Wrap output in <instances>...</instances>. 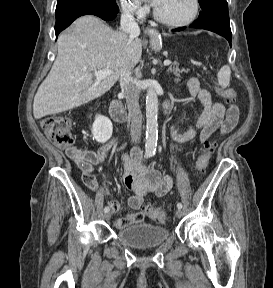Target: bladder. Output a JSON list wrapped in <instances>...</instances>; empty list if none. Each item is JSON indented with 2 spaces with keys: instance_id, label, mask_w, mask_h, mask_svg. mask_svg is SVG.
<instances>
[{
  "instance_id": "31cf9c89",
  "label": "bladder",
  "mask_w": 273,
  "mask_h": 288,
  "mask_svg": "<svg viewBox=\"0 0 273 288\" xmlns=\"http://www.w3.org/2000/svg\"><path fill=\"white\" fill-rule=\"evenodd\" d=\"M116 236L124 245L143 249L162 245L170 238V233L165 227L140 223L121 228Z\"/></svg>"
}]
</instances>
